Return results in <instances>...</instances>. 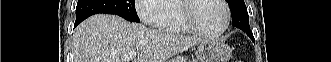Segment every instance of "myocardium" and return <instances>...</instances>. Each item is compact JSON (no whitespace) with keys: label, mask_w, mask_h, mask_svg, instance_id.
Wrapping results in <instances>:
<instances>
[{"label":"myocardium","mask_w":331,"mask_h":62,"mask_svg":"<svg viewBox=\"0 0 331 62\" xmlns=\"http://www.w3.org/2000/svg\"><path fill=\"white\" fill-rule=\"evenodd\" d=\"M198 0H182L180 1V11H181V18L186 25V27L193 33L209 38H217L223 35L230 24V11L228 8L227 3L224 0H216L220 3V5L224 9V25L223 27L216 31V32H209L202 29L192 15V9L194 7L195 2Z\"/></svg>","instance_id":"1"}]
</instances>
